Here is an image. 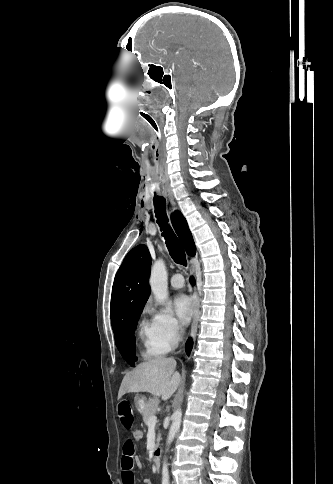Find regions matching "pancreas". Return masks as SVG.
<instances>
[{
    "mask_svg": "<svg viewBox=\"0 0 333 484\" xmlns=\"http://www.w3.org/2000/svg\"><path fill=\"white\" fill-rule=\"evenodd\" d=\"M158 405H159V400L157 398L149 399L148 405L145 411L143 412V422L145 423V425H148L149 418H151L152 416H155L158 409ZM160 440H161V435L159 433L156 439L157 445L159 444Z\"/></svg>",
    "mask_w": 333,
    "mask_h": 484,
    "instance_id": "pancreas-1",
    "label": "pancreas"
}]
</instances>
